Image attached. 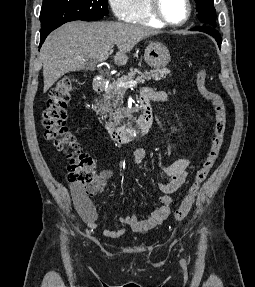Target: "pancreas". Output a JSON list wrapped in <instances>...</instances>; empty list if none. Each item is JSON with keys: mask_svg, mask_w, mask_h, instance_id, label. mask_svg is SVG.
I'll list each match as a JSON object with an SVG mask.
<instances>
[{"mask_svg": "<svg viewBox=\"0 0 255 287\" xmlns=\"http://www.w3.org/2000/svg\"><path fill=\"white\" fill-rule=\"evenodd\" d=\"M167 74H170V70L167 68H156V70H130L128 76H122L118 78L117 82H112L109 84L105 94H103L102 102H100L96 112H102V118H107L109 114V124H114V126H119L120 122L123 120V114L121 108H117L119 104V94L126 92L127 88H117L119 82H131V80H137V82H148V80H161V78H166ZM117 108V110H116Z\"/></svg>", "mask_w": 255, "mask_h": 287, "instance_id": "obj_1", "label": "pancreas"}]
</instances>
